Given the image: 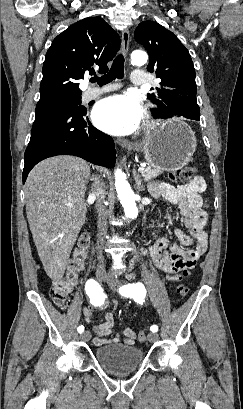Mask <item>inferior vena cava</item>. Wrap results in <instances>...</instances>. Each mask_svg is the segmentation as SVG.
Here are the masks:
<instances>
[{
  "label": "inferior vena cava",
  "instance_id": "602c4592",
  "mask_svg": "<svg viewBox=\"0 0 243 409\" xmlns=\"http://www.w3.org/2000/svg\"><path fill=\"white\" fill-rule=\"evenodd\" d=\"M94 184L91 190V195L96 198V206L98 212V244L99 242H103V236L107 232V221H106V211L104 206V199L106 195V191L104 188L103 182L99 180V178H94ZM97 250L99 252L98 260H99V268H104V258L102 256L101 247L98 246Z\"/></svg>",
  "mask_w": 243,
  "mask_h": 409
}]
</instances>
